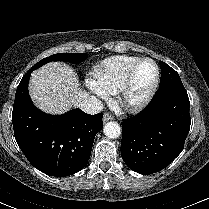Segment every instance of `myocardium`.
<instances>
[{"mask_svg": "<svg viewBox=\"0 0 209 209\" xmlns=\"http://www.w3.org/2000/svg\"><path fill=\"white\" fill-rule=\"evenodd\" d=\"M151 62L155 67V79L154 82L148 91V93L139 101H130L128 98V93L132 84L133 75L138 68V66L143 62ZM160 83V68L155 60L149 57L140 58L137 60L134 64L131 65V67L128 69L126 76L120 86V89L118 91V103L120 107L126 111L129 112H136L144 109L149 105V103L152 101L154 95L157 92V89L159 87Z\"/></svg>", "mask_w": 209, "mask_h": 209, "instance_id": "1", "label": "myocardium"}]
</instances>
